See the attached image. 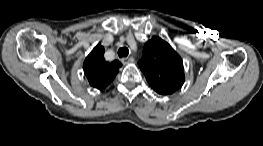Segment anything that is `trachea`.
<instances>
[{
	"label": "trachea",
	"mask_w": 263,
	"mask_h": 146,
	"mask_svg": "<svg viewBox=\"0 0 263 146\" xmlns=\"http://www.w3.org/2000/svg\"><path fill=\"white\" fill-rule=\"evenodd\" d=\"M129 54V50L126 47H122L118 50V56L119 57H127Z\"/></svg>",
	"instance_id": "3493384b"
}]
</instances>
